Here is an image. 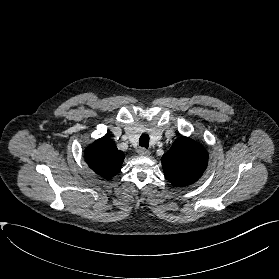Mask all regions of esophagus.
<instances>
[{
  "mask_svg": "<svg viewBox=\"0 0 279 279\" xmlns=\"http://www.w3.org/2000/svg\"><path fill=\"white\" fill-rule=\"evenodd\" d=\"M137 152L140 156H149L150 155V151L145 148H139L137 150Z\"/></svg>",
  "mask_w": 279,
  "mask_h": 279,
  "instance_id": "34e87169",
  "label": "esophagus"
}]
</instances>
